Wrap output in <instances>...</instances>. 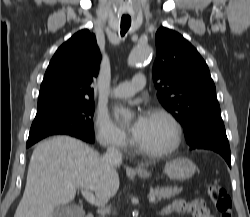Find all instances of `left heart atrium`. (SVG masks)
<instances>
[{
	"instance_id": "obj_1",
	"label": "left heart atrium",
	"mask_w": 250,
	"mask_h": 217,
	"mask_svg": "<svg viewBox=\"0 0 250 217\" xmlns=\"http://www.w3.org/2000/svg\"><path fill=\"white\" fill-rule=\"evenodd\" d=\"M120 115H122V113H120ZM148 118L149 115L144 112L136 113L131 126V133L136 141H138L141 137L142 132L147 124Z\"/></svg>"
}]
</instances>
